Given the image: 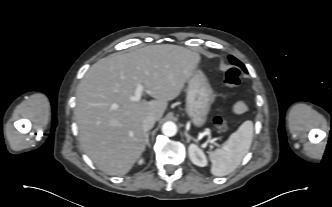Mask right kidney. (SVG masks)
Instances as JSON below:
<instances>
[{"label":"right kidney","instance_id":"right-kidney-1","mask_svg":"<svg viewBox=\"0 0 332 207\" xmlns=\"http://www.w3.org/2000/svg\"><path fill=\"white\" fill-rule=\"evenodd\" d=\"M138 163H139V164H142V163H143V159H140V160L138 161Z\"/></svg>","mask_w":332,"mask_h":207}]
</instances>
